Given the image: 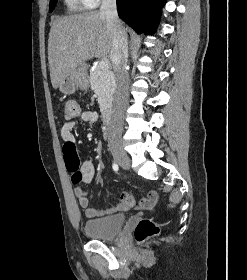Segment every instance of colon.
I'll return each mask as SVG.
<instances>
[{
	"label": "colon",
	"mask_w": 247,
	"mask_h": 280,
	"mask_svg": "<svg viewBox=\"0 0 247 280\" xmlns=\"http://www.w3.org/2000/svg\"><path fill=\"white\" fill-rule=\"evenodd\" d=\"M65 116L68 119L75 118L79 114V107L75 101H67L64 105ZM65 165L72 175L75 190H81L82 173L80 171V159L73 144H65L63 147ZM160 231L157 222L150 218H144L138 222L134 230V237L138 243H143L149 238L156 236Z\"/></svg>",
	"instance_id": "1"
}]
</instances>
